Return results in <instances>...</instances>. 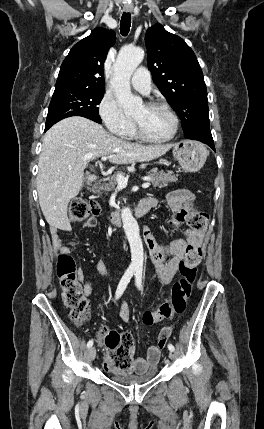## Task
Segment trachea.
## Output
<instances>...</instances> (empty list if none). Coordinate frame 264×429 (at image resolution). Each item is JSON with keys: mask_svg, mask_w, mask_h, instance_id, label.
<instances>
[{"mask_svg": "<svg viewBox=\"0 0 264 429\" xmlns=\"http://www.w3.org/2000/svg\"><path fill=\"white\" fill-rule=\"evenodd\" d=\"M131 26V15L129 12H124L121 17L120 31L123 36H126Z\"/></svg>", "mask_w": 264, "mask_h": 429, "instance_id": "1", "label": "trachea"}]
</instances>
